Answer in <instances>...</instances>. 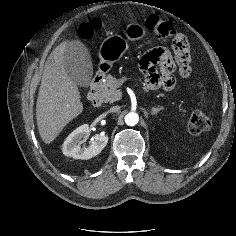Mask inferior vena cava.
<instances>
[{"instance_id":"obj_1","label":"inferior vena cava","mask_w":236,"mask_h":236,"mask_svg":"<svg viewBox=\"0 0 236 236\" xmlns=\"http://www.w3.org/2000/svg\"><path fill=\"white\" fill-rule=\"evenodd\" d=\"M119 109H120V107L119 106H114V107H112V108H110V112H117V111H119Z\"/></svg>"}]
</instances>
